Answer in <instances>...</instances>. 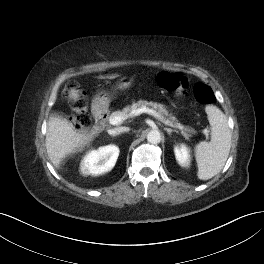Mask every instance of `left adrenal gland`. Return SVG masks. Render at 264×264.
<instances>
[{"mask_svg": "<svg viewBox=\"0 0 264 264\" xmlns=\"http://www.w3.org/2000/svg\"><path fill=\"white\" fill-rule=\"evenodd\" d=\"M164 130L168 133L169 136H171L172 132H178L177 130L171 128H164Z\"/></svg>", "mask_w": 264, "mask_h": 264, "instance_id": "a2214340", "label": "left adrenal gland"}]
</instances>
